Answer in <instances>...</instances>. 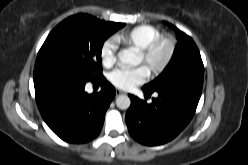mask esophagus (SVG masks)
I'll return each mask as SVG.
<instances>
[{"label": "esophagus", "instance_id": "1", "mask_svg": "<svg viewBox=\"0 0 248 165\" xmlns=\"http://www.w3.org/2000/svg\"><path fill=\"white\" fill-rule=\"evenodd\" d=\"M124 92L122 91V90H120V89H116V95L118 96V95H121V94H123Z\"/></svg>", "mask_w": 248, "mask_h": 165}]
</instances>
